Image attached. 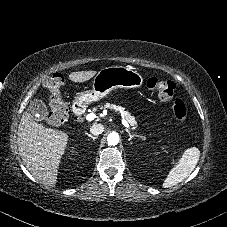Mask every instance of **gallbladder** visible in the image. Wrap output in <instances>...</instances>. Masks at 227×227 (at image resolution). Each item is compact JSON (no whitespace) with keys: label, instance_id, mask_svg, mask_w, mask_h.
<instances>
[{"label":"gallbladder","instance_id":"gallbladder-1","mask_svg":"<svg viewBox=\"0 0 227 227\" xmlns=\"http://www.w3.org/2000/svg\"><path fill=\"white\" fill-rule=\"evenodd\" d=\"M28 112L35 120H44L47 116V107L41 100H32L29 103Z\"/></svg>","mask_w":227,"mask_h":227}]
</instances>
